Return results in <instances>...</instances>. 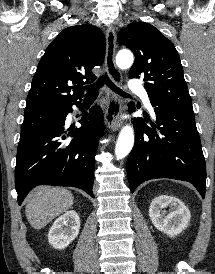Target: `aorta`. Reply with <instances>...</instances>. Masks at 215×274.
<instances>
[{"mask_svg": "<svg viewBox=\"0 0 215 274\" xmlns=\"http://www.w3.org/2000/svg\"><path fill=\"white\" fill-rule=\"evenodd\" d=\"M133 54L129 50H121L116 56V64L120 69H127L133 64ZM134 145V131L131 126H124L119 134L115 154L122 159L129 154Z\"/></svg>", "mask_w": 215, "mask_h": 274, "instance_id": "aorta-1", "label": "aorta"}]
</instances>
